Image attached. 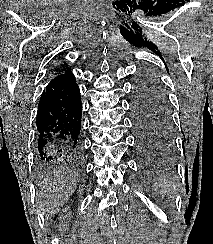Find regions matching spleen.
<instances>
[{"label": "spleen", "mask_w": 213, "mask_h": 244, "mask_svg": "<svg viewBox=\"0 0 213 244\" xmlns=\"http://www.w3.org/2000/svg\"><path fill=\"white\" fill-rule=\"evenodd\" d=\"M164 190L166 193H170L173 191V187L169 181H167L166 184L164 185Z\"/></svg>", "instance_id": "1"}]
</instances>
